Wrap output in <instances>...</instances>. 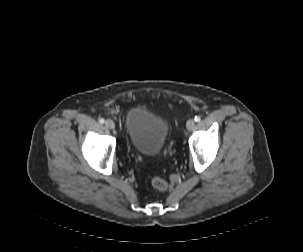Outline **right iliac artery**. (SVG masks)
I'll list each match as a JSON object with an SVG mask.
<instances>
[{"mask_svg":"<svg viewBox=\"0 0 303 252\" xmlns=\"http://www.w3.org/2000/svg\"><path fill=\"white\" fill-rule=\"evenodd\" d=\"M99 122H100L101 124H103V123H104V119H103V118H100V119H99Z\"/></svg>","mask_w":303,"mask_h":252,"instance_id":"obj_1","label":"right iliac artery"}]
</instances>
